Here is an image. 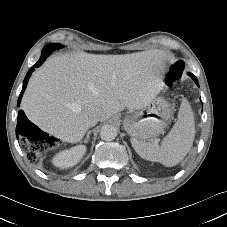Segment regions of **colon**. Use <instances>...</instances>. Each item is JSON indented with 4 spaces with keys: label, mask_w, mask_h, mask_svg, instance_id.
<instances>
[{
    "label": "colon",
    "mask_w": 227,
    "mask_h": 227,
    "mask_svg": "<svg viewBox=\"0 0 227 227\" xmlns=\"http://www.w3.org/2000/svg\"><path fill=\"white\" fill-rule=\"evenodd\" d=\"M166 83L169 86L175 85L182 77L184 71V64L182 61H166ZM33 144H28L27 155L30 159L36 157L37 152L45 151L53 146L51 137L46 133H37L35 137L32 138ZM38 148V149H37Z\"/></svg>",
    "instance_id": "obj_1"
}]
</instances>
